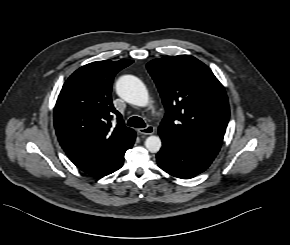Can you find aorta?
Wrapping results in <instances>:
<instances>
[{"instance_id": "1", "label": "aorta", "mask_w": 290, "mask_h": 245, "mask_svg": "<svg viewBox=\"0 0 290 245\" xmlns=\"http://www.w3.org/2000/svg\"><path fill=\"white\" fill-rule=\"evenodd\" d=\"M116 92L126 102L144 107L149 103V95L144 83L132 75H124L116 82ZM162 142L159 136H149L145 147L151 153L159 152Z\"/></svg>"}]
</instances>
